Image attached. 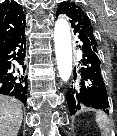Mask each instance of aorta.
<instances>
[{
  "instance_id": "1",
  "label": "aorta",
  "mask_w": 117,
  "mask_h": 136,
  "mask_svg": "<svg viewBox=\"0 0 117 136\" xmlns=\"http://www.w3.org/2000/svg\"><path fill=\"white\" fill-rule=\"evenodd\" d=\"M54 43L59 76L67 82L72 73V46L70 26L64 18H59L55 23Z\"/></svg>"
}]
</instances>
